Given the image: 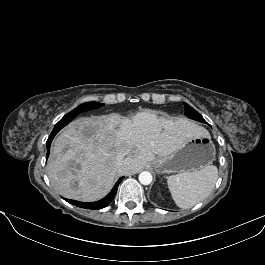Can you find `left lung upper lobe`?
Segmentation results:
<instances>
[{"label":"left lung upper lobe","mask_w":265,"mask_h":265,"mask_svg":"<svg viewBox=\"0 0 265 265\" xmlns=\"http://www.w3.org/2000/svg\"><path fill=\"white\" fill-rule=\"evenodd\" d=\"M184 106H185V115H187L188 118H191L193 120L200 121V122H205L203 117L190 105L184 103Z\"/></svg>","instance_id":"obj_1"}]
</instances>
